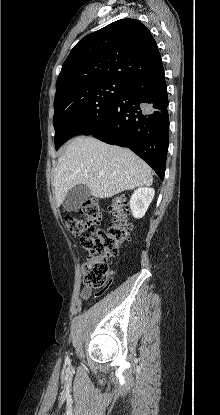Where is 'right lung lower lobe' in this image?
I'll use <instances>...</instances> for the list:
<instances>
[{
    "instance_id": "98d812e1",
    "label": "right lung lower lobe",
    "mask_w": 220,
    "mask_h": 415,
    "mask_svg": "<svg viewBox=\"0 0 220 415\" xmlns=\"http://www.w3.org/2000/svg\"><path fill=\"white\" fill-rule=\"evenodd\" d=\"M168 96L164 69L127 84L105 123L93 135L131 149L163 180L168 150Z\"/></svg>"
}]
</instances>
